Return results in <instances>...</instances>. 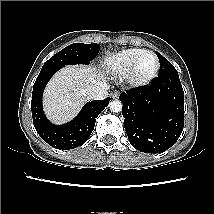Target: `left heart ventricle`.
<instances>
[{"instance_id":"b2bd125f","label":"left heart ventricle","mask_w":214,"mask_h":214,"mask_svg":"<svg viewBox=\"0 0 214 214\" xmlns=\"http://www.w3.org/2000/svg\"><path fill=\"white\" fill-rule=\"evenodd\" d=\"M155 65H156L155 58L149 54L145 55L139 63L137 73L140 76H146L153 71V69L155 68Z\"/></svg>"}]
</instances>
